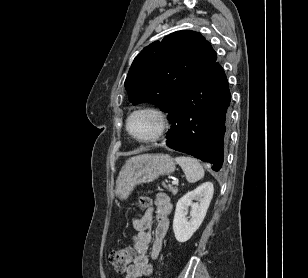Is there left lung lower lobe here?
Masks as SVG:
<instances>
[{
	"mask_svg": "<svg viewBox=\"0 0 308 278\" xmlns=\"http://www.w3.org/2000/svg\"><path fill=\"white\" fill-rule=\"evenodd\" d=\"M231 94L218 62L191 82L169 108L166 145L213 164L219 171L227 141Z\"/></svg>",
	"mask_w": 308,
	"mask_h": 278,
	"instance_id": "left-lung-lower-lobe-1",
	"label": "left lung lower lobe"
}]
</instances>
